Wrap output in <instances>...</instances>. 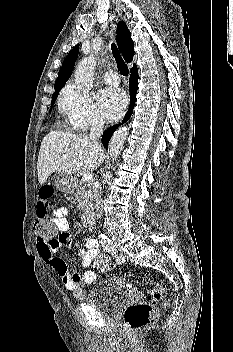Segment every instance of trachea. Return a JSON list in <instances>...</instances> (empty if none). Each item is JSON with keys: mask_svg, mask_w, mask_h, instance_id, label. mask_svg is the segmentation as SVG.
Instances as JSON below:
<instances>
[{"mask_svg": "<svg viewBox=\"0 0 233 352\" xmlns=\"http://www.w3.org/2000/svg\"><path fill=\"white\" fill-rule=\"evenodd\" d=\"M111 49H112V53L115 58L118 70L120 71V73L123 76H128V73H129L128 67H127L126 63L124 62L123 58L121 57V55H120V53L114 43H112Z\"/></svg>", "mask_w": 233, "mask_h": 352, "instance_id": "1", "label": "trachea"}]
</instances>
